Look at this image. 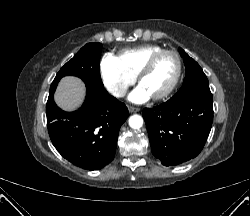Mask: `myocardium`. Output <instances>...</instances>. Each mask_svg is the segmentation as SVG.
Here are the masks:
<instances>
[{
  "label": "myocardium",
  "mask_w": 250,
  "mask_h": 216,
  "mask_svg": "<svg viewBox=\"0 0 250 216\" xmlns=\"http://www.w3.org/2000/svg\"><path fill=\"white\" fill-rule=\"evenodd\" d=\"M165 54H171L175 57L176 63H177V70H176V74H175L171 84L169 85V87L165 91H163L162 93L152 97V99L155 101H159V100H162V99L168 97L174 91V89L176 88V86L179 82L181 75H182V67H183L182 59H181L179 53L175 50H172V49H162L161 51L153 54L150 57V59L146 62V64L143 66V68L141 69V71L139 72V74L137 76L138 82L141 83L143 78L150 73V71L154 67L155 63L157 62V60Z\"/></svg>",
  "instance_id": "myocardium-1"
}]
</instances>
